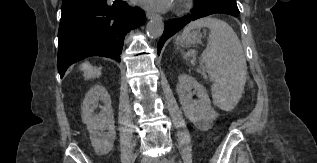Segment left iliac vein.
<instances>
[{
  "instance_id": "obj_1",
  "label": "left iliac vein",
  "mask_w": 317,
  "mask_h": 163,
  "mask_svg": "<svg viewBox=\"0 0 317 163\" xmlns=\"http://www.w3.org/2000/svg\"><path fill=\"white\" fill-rule=\"evenodd\" d=\"M153 163H161V162H159L158 160H154ZM168 163H173V161L169 160Z\"/></svg>"
}]
</instances>
